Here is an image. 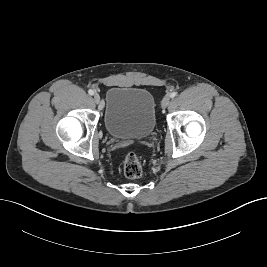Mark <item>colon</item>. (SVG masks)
<instances>
[{
	"label": "colon",
	"instance_id": "1",
	"mask_svg": "<svg viewBox=\"0 0 267 267\" xmlns=\"http://www.w3.org/2000/svg\"><path fill=\"white\" fill-rule=\"evenodd\" d=\"M123 171L127 178L136 179L142 176L143 166L135 152L126 154L123 161Z\"/></svg>",
	"mask_w": 267,
	"mask_h": 267
}]
</instances>
